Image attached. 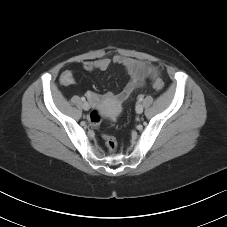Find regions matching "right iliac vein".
Wrapping results in <instances>:
<instances>
[{
  "mask_svg": "<svg viewBox=\"0 0 227 227\" xmlns=\"http://www.w3.org/2000/svg\"><path fill=\"white\" fill-rule=\"evenodd\" d=\"M82 107H83V109L86 110V111H88L89 108H90V106H89V104H88L87 102H84L83 105H82Z\"/></svg>",
  "mask_w": 227,
  "mask_h": 227,
  "instance_id": "63e3f726",
  "label": "right iliac vein"
}]
</instances>
